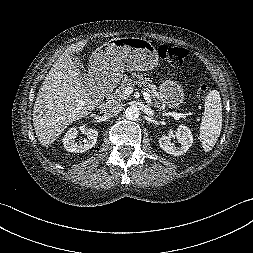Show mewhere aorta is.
Masks as SVG:
<instances>
[{
	"instance_id": "obj_1",
	"label": "aorta",
	"mask_w": 253,
	"mask_h": 253,
	"mask_svg": "<svg viewBox=\"0 0 253 253\" xmlns=\"http://www.w3.org/2000/svg\"><path fill=\"white\" fill-rule=\"evenodd\" d=\"M125 115L129 120H136L140 116V110L136 106H130L126 109Z\"/></svg>"
}]
</instances>
